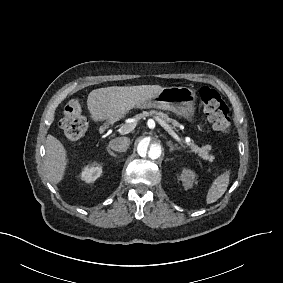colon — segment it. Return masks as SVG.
<instances>
[{
  "label": "colon",
  "instance_id": "1",
  "mask_svg": "<svg viewBox=\"0 0 283 283\" xmlns=\"http://www.w3.org/2000/svg\"><path fill=\"white\" fill-rule=\"evenodd\" d=\"M200 107L207 114L213 129L220 134L230 131V114L226 103L213 88L203 86L199 89ZM69 142H76L87 132L89 122L77 102L66 105L60 122Z\"/></svg>",
  "mask_w": 283,
  "mask_h": 283
}]
</instances>
